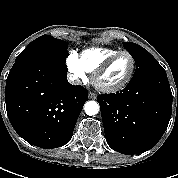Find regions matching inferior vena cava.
I'll return each instance as SVG.
<instances>
[{
	"label": "inferior vena cava",
	"instance_id": "602c4592",
	"mask_svg": "<svg viewBox=\"0 0 178 178\" xmlns=\"http://www.w3.org/2000/svg\"><path fill=\"white\" fill-rule=\"evenodd\" d=\"M68 79L74 85L81 84V81L77 77H75V76H73L71 74L68 76Z\"/></svg>",
	"mask_w": 178,
	"mask_h": 178
}]
</instances>
